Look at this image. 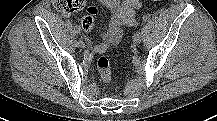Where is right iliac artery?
I'll list each match as a JSON object with an SVG mask.
<instances>
[{
	"label": "right iliac artery",
	"instance_id": "82829eb1",
	"mask_svg": "<svg viewBox=\"0 0 217 121\" xmlns=\"http://www.w3.org/2000/svg\"><path fill=\"white\" fill-rule=\"evenodd\" d=\"M74 31L76 34H81V28L79 26H75Z\"/></svg>",
	"mask_w": 217,
	"mask_h": 121
}]
</instances>
